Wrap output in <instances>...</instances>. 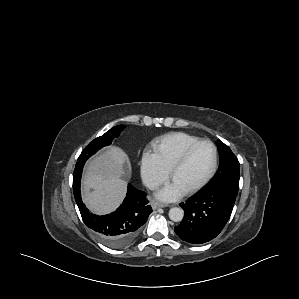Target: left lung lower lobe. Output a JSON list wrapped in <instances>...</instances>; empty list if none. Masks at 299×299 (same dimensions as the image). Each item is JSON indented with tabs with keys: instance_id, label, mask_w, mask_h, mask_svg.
Returning a JSON list of instances; mask_svg holds the SVG:
<instances>
[{
	"instance_id": "obj_1",
	"label": "left lung lower lobe",
	"mask_w": 299,
	"mask_h": 299,
	"mask_svg": "<svg viewBox=\"0 0 299 299\" xmlns=\"http://www.w3.org/2000/svg\"><path fill=\"white\" fill-rule=\"evenodd\" d=\"M238 190L230 187H205L180 206L185 216L175 227L176 234L192 244H203L214 239L226 225Z\"/></svg>"
}]
</instances>
